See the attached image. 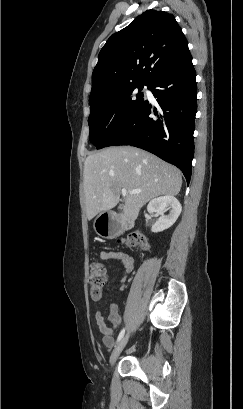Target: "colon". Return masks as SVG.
<instances>
[{
	"mask_svg": "<svg viewBox=\"0 0 243 409\" xmlns=\"http://www.w3.org/2000/svg\"><path fill=\"white\" fill-rule=\"evenodd\" d=\"M119 243H126L128 245L138 244L142 249H148L150 246L149 241L141 235H130ZM105 283V268L99 262H94L90 266L88 284L90 288L91 297L94 300H100L102 298L103 287Z\"/></svg>",
	"mask_w": 243,
	"mask_h": 409,
	"instance_id": "1",
	"label": "colon"
}]
</instances>
